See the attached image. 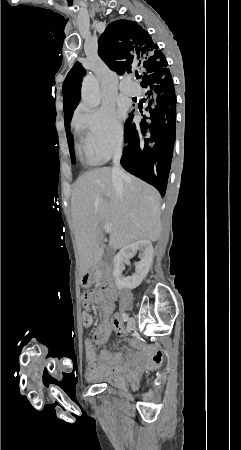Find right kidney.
<instances>
[{
	"label": "right kidney",
	"instance_id": "right-kidney-1",
	"mask_svg": "<svg viewBox=\"0 0 241 450\" xmlns=\"http://www.w3.org/2000/svg\"><path fill=\"white\" fill-rule=\"evenodd\" d=\"M136 252H140L138 258L140 262L135 264V274L133 276H128V278H123L122 272L125 270L124 264L130 258H134ZM153 262V246L150 240H138V242H133L129 246H124L120 250L119 254L114 258V268L113 276L115 284L118 290H123V288H137L140 286L142 280L147 276Z\"/></svg>",
	"mask_w": 241,
	"mask_h": 450
}]
</instances>
